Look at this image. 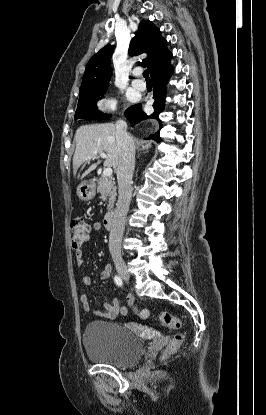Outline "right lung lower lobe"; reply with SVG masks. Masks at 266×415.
Instances as JSON below:
<instances>
[{
    "label": "right lung lower lobe",
    "instance_id": "98d812e1",
    "mask_svg": "<svg viewBox=\"0 0 266 415\" xmlns=\"http://www.w3.org/2000/svg\"><path fill=\"white\" fill-rule=\"evenodd\" d=\"M172 72H173L172 67L168 66L161 72L151 77L153 88H154L153 98L155 99L153 103L154 113L150 115H147L146 113H144L142 110L141 104L132 106L126 110L125 115L127 119L133 125L149 120V119H155L158 121L160 129L162 128V122L159 119V114L163 112V110L165 109V97H166V92H167L166 84ZM160 129L155 134L151 135L150 138L154 139L155 141H160L161 140L159 136Z\"/></svg>",
    "mask_w": 266,
    "mask_h": 415
}]
</instances>
